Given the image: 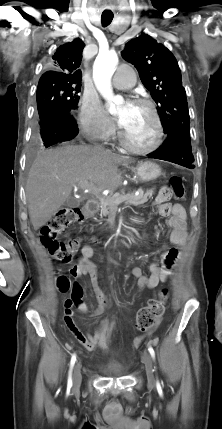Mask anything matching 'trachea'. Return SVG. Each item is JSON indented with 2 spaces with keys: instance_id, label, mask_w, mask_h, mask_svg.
Wrapping results in <instances>:
<instances>
[{
  "instance_id": "1",
  "label": "trachea",
  "mask_w": 222,
  "mask_h": 429,
  "mask_svg": "<svg viewBox=\"0 0 222 429\" xmlns=\"http://www.w3.org/2000/svg\"><path fill=\"white\" fill-rule=\"evenodd\" d=\"M113 17H114V15H113V13L112 12H103L102 13V16H101V22H102V25L105 27V26H108L111 22H112V20H113Z\"/></svg>"
}]
</instances>
